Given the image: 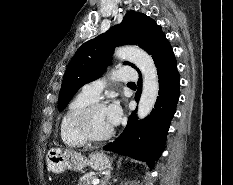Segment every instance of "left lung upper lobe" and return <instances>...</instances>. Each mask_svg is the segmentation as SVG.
<instances>
[{"label":"left lung upper lobe","instance_id":"5c2ea615","mask_svg":"<svg viewBox=\"0 0 233 185\" xmlns=\"http://www.w3.org/2000/svg\"><path fill=\"white\" fill-rule=\"evenodd\" d=\"M164 37L161 27L154 20L145 14L128 11L121 24L85 42L73 56L63 78L58 102L59 111L68 105L80 87L104 73L114 47L125 44L138 45L152 55ZM124 64L136 68L129 62Z\"/></svg>","mask_w":233,"mask_h":185}]
</instances>
